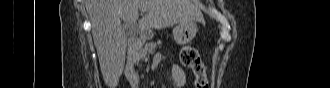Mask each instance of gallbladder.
<instances>
[{"label": "gallbladder", "instance_id": "obj_1", "mask_svg": "<svg viewBox=\"0 0 330 88\" xmlns=\"http://www.w3.org/2000/svg\"><path fill=\"white\" fill-rule=\"evenodd\" d=\"M124 29H125V32L127 33L128 36L134 34L136 32V27L134 25H130V24H127L125 23L123 25Z\"/></svg>", "mask_w": 330, "mask_h": 88}]
</instances>
